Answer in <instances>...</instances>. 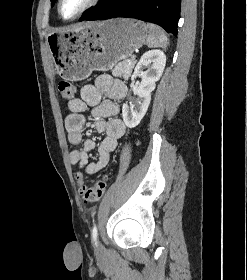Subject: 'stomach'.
<instances>
[{
    "mask_svg": "<svg viewBox=\"0 0 247 280\" xmlns=\"http://www.w3.org/2000/svg\"><path fill=\"white\" fill-rule=\"evenodd\" d=\"M147 34L144 22L118 18L52 32L46 40L57 73L65 80L79 81L128 59L142 47Z\"/></svg>",
    "mask_w": 247,
    "mask_h": 280,
    "instance_id": "0dacf381",
    "label": "stomach"
}]
</instances>
